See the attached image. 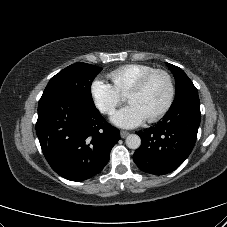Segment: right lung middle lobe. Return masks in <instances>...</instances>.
I'll return each mask as SVG.
<instances>
[{"label":"right lung middle lobe","mask_w":227,"mask_h":227,"mask_svg":"<svg viewBox=\"0 0 227 227\" xmlns=\"http://www.w3.org/2000/svg\"><path fill=\"white\" fill-rule=\"evenodd\" d=\"M101 70L102 68L87 63L72 64L50 79L42 97L67 92L76 95L86 103L94 104L90 87Z\"/></svg>","instance_id":"dd1d6c3e"}]
</instances>
